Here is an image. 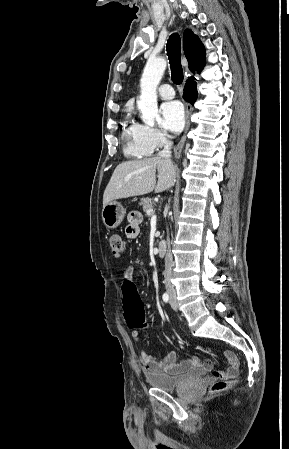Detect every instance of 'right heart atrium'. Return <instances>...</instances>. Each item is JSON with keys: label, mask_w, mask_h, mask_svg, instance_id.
<instances>
[{"label": "right heart atrium", "mask_w": 289, "mask_h": 449, "mask_svg": "<svg viewBox=\"0 0 289 449\" xmlns=\"http://www.w3.org/2000/svg\"><path fill=\"white\" fill-rule=\"evenodd\" d=\"M140 130L142 140L151 151L166 143V137L159 129L147 125H140Z\"/></svg>", "instance_id": "obj_1"}]
</instances>
